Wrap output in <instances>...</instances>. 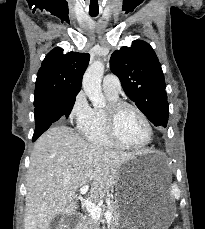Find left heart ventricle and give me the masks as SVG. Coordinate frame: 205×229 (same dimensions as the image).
I'll use <instances>...</instances> for the list:
<instances>
[{
    "mask_svg": "<svg viewBox=\"0 0 205 229\" xmlns=\"http://www.w3.org/2000/svg\"><path fill=\"white\" fill-rule=\"evenodd\" d=\"M117 133L119 138L129 145H139L147 138L145 123L132 109H124L119 114Z\"/></svg>",
    "mask_w": 205,
    "mask_h": 229,
    "instance_id": "left-heart-ventricle-1",
    "label": "left heart ventricle"
}]
</instances>
